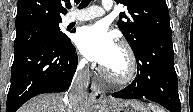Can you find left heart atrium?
I'll return each mask as SVG.
<instances>
[{"mask_svg":"<svg viewBox=\"0 0 193 112\" xmlns=\"http://www.w3.org/2000/svg\"><path fill=\"white\" fill-rule=\"evenodd\" d=\"M75 44L88 60L104 67L111 61L118 47L102 22L81 28L76 35Z\"/></svg>","mask_w":193,"mask_h":112,"instance_id":"left-heart-atrium-1","label":"left heart atrium"}]
</instances>
